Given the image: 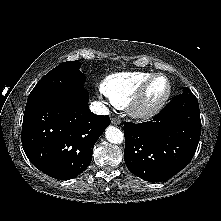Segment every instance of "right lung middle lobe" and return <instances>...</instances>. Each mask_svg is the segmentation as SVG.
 <instances>
[{
	"label": "right lung middle lobe",
	"instance_id": "right-lung-middle-lobe-1",
	"mask_svg": "<svg viewBox=\"0 0 221 221\" xmlns=\"http://www.w3.org/2000/svg\"><path fill=\"white\" fill-rule=\"evenodd\" d=\"M78 61L63 62L49 71L33 88L27 103L58 95H67L83 87L85 76Z\"/></svg>",
	"mask_w": 221,
	"mask_h": 221
}]
</instances>
